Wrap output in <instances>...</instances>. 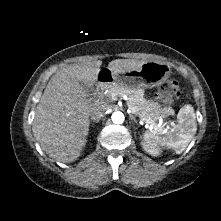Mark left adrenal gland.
<instances>
[{
    "label": "left adrenal gland",
    "instance_id": "1",
    "mask_svg": "<svg viewBox=\"0 0 221 221\" xmlns=\"http://www.w3.org/2000/svg\"><path fill=\"white\" fill-rule=\"evenodd\" d=\"M130 119L133 120L136 124L138 123L136 118L133 115H131V114H130Z\"/></svg>",
    "mask_w": 221,
    "mask_h": 221
}]
</instances>
